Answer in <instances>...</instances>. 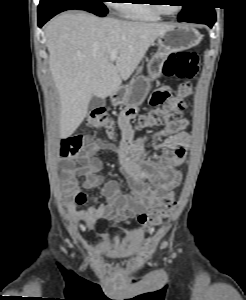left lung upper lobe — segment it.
<instances>
[{
	"instance_id": "obj_1",
	"label": "left lung upper lobe",
	"mask_w": 246,
	"mask_h": 300,
	"mask_svg": "<svg viewBox=\"0 0 246 300\" xmlns=\"http://www.w3.org/2000/svg\"><path fill=\"white\" fill-rule=\"evenodd\" d=\"M189 3L183 6L182 11L179 13L178 19L186 18L207 8H210L208 0H186Z\"/></svg>"
}]
</instances>
